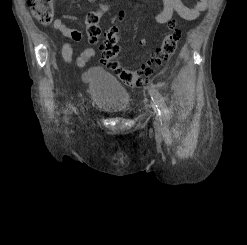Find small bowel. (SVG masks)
I'll return each instance as SVG.
<instances>
[{"instance_id":"c3829d8e","label":"small bowel","mask_w":247,"mask_h":245,"mask_svg":"<svg viewBox=\"0 0 247 245\" xmlns=\"http://www.w3.org/2000/svg\"><path fill=\"white\" fill-rule=\"evenodd\" d=\"M89 2H94L95 0H88ZM209 0H198L194 5L187 6L182 0H163L162 9L155 14L154 20L158 24H166L171 21L174 14L179 15L184 20H195L199 15L205 11L208 7ZM65 20L75 21L77 18L74 15H64L63 19L57 18L53 22V27L55 30L60 32L63 36L79 42L83 38L81 31L69 27ZM108 32L116 33L120 38V31L117 24L109 28ZM61 54L65 62L70 63L73 59V49L70 43L65 42L61 47ZM95 56V50L92 48L84 49L80 55L77 57L75 63L77 67L83 68L88 61L93 59Z\"/></svg>"}]
</instances>
